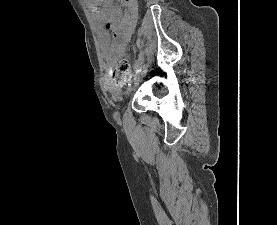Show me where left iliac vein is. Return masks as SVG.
Listing matches in <instances>:
<instances>
[{
  "label": "left iliac vein",
  "instance_id": "1",
  "mask_svg": "<svg viewBox=\"0 0 277 225\" xmlns=\"http://www.w3.org/2000/svg\"><path fill=\"white\" fill-rule=\"evenodd\" d=\"M145 73H146V70H143L142 72L138 73L136 75V80L139 81L145 75ZM130 92H131V89L129 88L127 90V94H129Z\"/></svg>",
  "mask_w": 277,
  "mask_h": 225
}]
</instances>
